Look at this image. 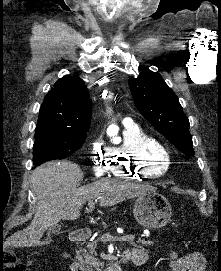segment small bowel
Returning a JSON list of instances; mask_svg holds the SVG:
<instances>
[{
  "label": "small bowel",
  "mask_w": 221,
  "mask_h": 271,
  "mask_svg": "<svg viewBox=\"0 0 221 271\" xmlns=\"http://www.w3.org/2000/svg\"><path fill=\"white\" fill-rule=\"evenodd\" d=\"M129 257L146 256L147 252L140 248H133L126 252ZM167 266L169 271H205L206 260L199 252H190L180 255L172 245L167 256Z\"/></svg>",
  "instance_id": "1"
}]
</instances>
